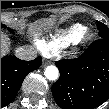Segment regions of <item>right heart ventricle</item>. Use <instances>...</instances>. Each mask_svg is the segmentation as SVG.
Listing matches in <instances>:
<instances>
[{"label": "right heart ventricle", "mask_w": 109, "mask_h": 109, "mask_svg": "<svg viewBox=\"0 0 109 109\" xmlns=\"http://www.w3.org/2000/svg\"><path fill=\"white\" fill-rule=\"evenodd\" d=\"M87 31L88 29L86 26L82 24H74L68 29L58 31L46 39H37V44L38 47H42L45 50V54H47L60 47L79 41Z\"/></svg>", "instance_id": "right-heart-ventricle-1"}]
</instances>
